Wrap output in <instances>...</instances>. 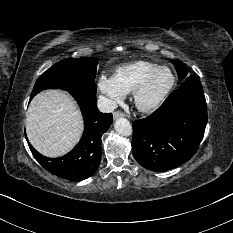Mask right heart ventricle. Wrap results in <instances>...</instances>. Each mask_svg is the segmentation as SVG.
Returning <instances> with one entry per match:
<instances>
[{
    "label": "right heart ventricle",
    "mask_w": 233,
    "mask_h": 233,
    "mask_svg": "<svg viewBox=\"0 0 233 233\" xmlns=\"http://www.w3.org/2000/svg\"><path fill=\"white\" fill-rule=\"evenodd\" d=\"M159 65L149 61H135L119 66L114 78L125 93L134 92L144 78Z\"/></svg>",
    "instance_id": "right-heart-ventricle-1"
}]
</instances>
